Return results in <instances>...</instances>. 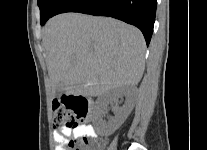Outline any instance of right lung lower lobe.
<instances>
[{"label": "right lung lower lobe", "mask_w": 207, "mask_h": 150, "mask_svg": "<svg viewBox=\"0 0 207 150\" xmlns=\"http://www.w3.org/2000/svg\"><path fill=\"white\" fill-rule=\"evenodd\" d=\"M156 4V0H63L54 15L80 12L117 18L138 27L148 46L153 33Z\"/></svg>", "instance_id": "1"}]
</instances>
